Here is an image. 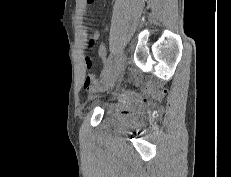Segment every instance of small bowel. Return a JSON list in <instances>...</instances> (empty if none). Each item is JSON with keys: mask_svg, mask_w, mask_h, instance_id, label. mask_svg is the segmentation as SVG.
<instances>
[{"mask_svg": "<svg viewBox=\"0 0 231 177\" xmlns=\"http://www.w3.org/2000/svg\"><path fill=\"white\" fill-rule=\"evenodd\" d=\"M94 36H97V33H94ZM99 55L102 58L106 57V50L104 49V47H100ZM84 62H85L86 68L89 69L91 67V65H92V58L91 57H86ZM95 83H96V79H95L94 75L93 74H87L86 77H85V80H84V87L86 89H91V88L94 87Z\"/></svg>", "mask_w": 231, "mask_h": 177, "instance_id": "c3829d8e", "label": "small bowel"}]
</instances>
